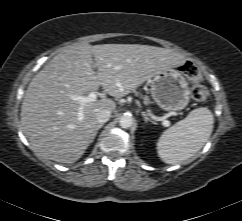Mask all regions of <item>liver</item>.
<instances>
[{"mask_svg": "<svg viewBox=\"0 0 242 221\" xmlns=\"http://www.w3.org/2000/svg\"><path fill=\"white\" fill-rule=\"evenodd\" d=\"M185 62L181 54L155 46L75 43L57 54L30 82L21 106L24 133L42 157L76 162L95 138L96 110L114 111L116 103L104 96L85 103L79 121L81 105L71 96L102 86L110 96L121 98L155 74Z\"/></svg>", "mask_w": 242, "mask_h": 221, "instance_id": "liver-1", "label": "liver"}]
</instances>
